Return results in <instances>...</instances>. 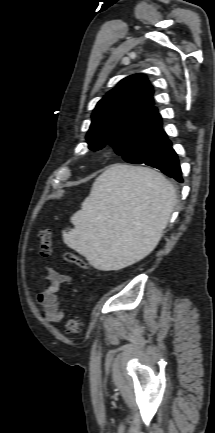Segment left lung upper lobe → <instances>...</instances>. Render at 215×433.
Segmentation results:
<instances>
[{
    "instance_id": "left-lung-upper-lobe-1",
    "label": "left lung upper lobe",
    "mask_w": 215,
    "mask_h": 433,
    "mask_svg": "<svg viewBox=\"0 0 215 433\" xmlns=\"http://www.w3.org/2000/svg\"><path fill=\"white\" fill-rule=\"evenodd\" d=\"M152 95L143 74L121 80L96 105L86 136L89 149L96 151L109 143L125 161L155 168L167 135Z\"/></svg>"
}]
</instances>
